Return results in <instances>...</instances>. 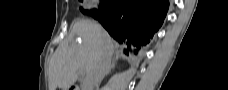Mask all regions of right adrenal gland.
<instances>
[{"label":"right adrenal gland","mask_w":228,"mask_h":90,"mask_svg":"<svg viewBox=\"0 0 228 90\" xmlns=\"http://www.w3.org/2000/svg\"><path fill=\"white\" fill-rule=\"evenodd\" d=\"M115 64H116V60H113L106 75L110 74L111 70L115 67Z\"/></svg>","instance_id":"2a0ac1e0"}]
</instances>
